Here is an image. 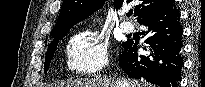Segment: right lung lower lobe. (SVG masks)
Returning <instances> with one entry per match:
<instances>
[{"instance_id": "98d812e1", "label": "right lung lower lobe", "mask_w": 205, "mask_h": 87, "mask_svg": "<svg viewBox=\"0 0 205 87\" xmlns=\"http://www.w3.org/2000/svg\"><path fill=\"white\" fill-rule=\"evenodd\" d=\"M138 23L149 28L142 35L150 54L138 56L137 43L128 40L123 43L125 51L119 57L120 67L131 78H143L159 87H178L183 66V30L175 0H167Z\"/></svg>"}]
</instances>
